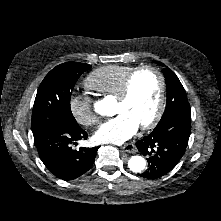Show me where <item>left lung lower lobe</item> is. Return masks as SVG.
I'll use <instances>...</instances> for the list:
<instances>
[{
    "label": "left lung lower lobe",
    "mask_w": 221,
    "mask_h": 221,
    "mask_svg": "<svg viewBox=\"0 0 221 221\" xmlns=\"http://www.w3.org/2000/svg\"><path fill=\"white\" fill-rule=\"evenodd\" d=\"M190 126L191 112L176 113L158 123L147 137L137 141L138 150L148 161V169L138 175L155 179L172 170L186 150Z\"/></svg>",
    "instance_id": "left-lung-lower-lobe-1"
}]
</instances>
